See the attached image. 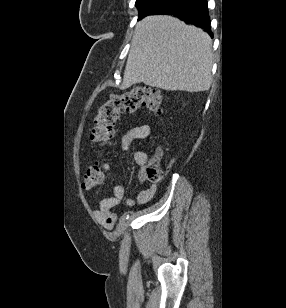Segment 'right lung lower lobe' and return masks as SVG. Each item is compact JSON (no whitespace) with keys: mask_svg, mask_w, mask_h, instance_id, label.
<instances>
[{"mask_svg":"<svg viewBox=\"0 0 286 308\" xmlns=\"http://www.w3.org/2000/svg\"><path fill=\"white\" fill-rule=\"evenodd\" d=\"M150 14L174 15L185 22L205 29L213 37L206 0H170Z\"/></svg>","mask_w":286,"mask_h":308,"instance_id":"right-lung-lower-lobe-1","label":"right lung lower lobe"}]
</instances>
